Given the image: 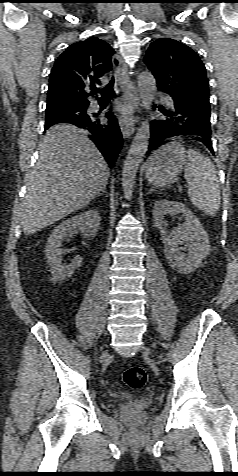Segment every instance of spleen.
I'll return each mask as SVG.
<instances>
[{"mask_svg":"<svg viewBox=\"0 0 238 476\" xmlns=\"http://www.w3.org/2000/svg\"><path fill=\"white\" fill-rule=\"evenodd\" d=\"M187 163L184 175L188 183V196L194 206L214 216L220 208V188L212 161L200 152L186 151Z\"/></svg>","mask_w":238,"mask_h":476,"instance_id":"spleen-1","label":"spleen"}]
</instances>
